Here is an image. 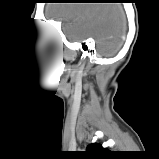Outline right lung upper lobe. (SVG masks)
<instances>
[{
  "instance_id": "right-lung-upper-lobe-1",
  "label": "right lung upper lobe",
  "mask_w": 159,
  "mask_h": 159,
  "mask_svg": "<svg viewBox=\"0 0 159 159\" xmlns=\"http://www.w3.org/2000/svg\"><path fill=\"white\" fill-rule=\"evenodd\" d=\"M104 151H107L106 149H104L101 145L99 144H90L87 147L86 152L91 155L90 159H96V157H98L99 155H101Z\"/></svg>"
}]
</instances>
